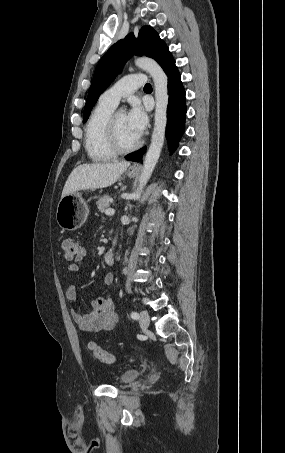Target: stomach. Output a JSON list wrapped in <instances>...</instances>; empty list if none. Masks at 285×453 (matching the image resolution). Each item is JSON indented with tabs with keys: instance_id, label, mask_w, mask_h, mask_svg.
<instances>
[{
	"instance_id": "obj_1",
	"label": "stomach",
	"mask_w": 285,
	"mask_h": 453,
	"mask_svg": "<svg viewBox=\"0 0 285 453\" xmlns=\"http://www.w3.org/2000/svg\"><path fill=\"white\" fill-rule=\"evenodd\" d=\"M127 175L134 178L137 171L127 170ZM89 213L87 202L78 192L71 193L61 198L57 205L56 221L63 230L74 231L86 221Z\"/></svg>"
}]
</instances>
